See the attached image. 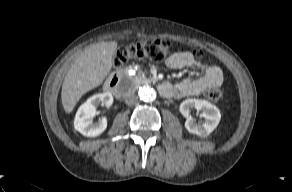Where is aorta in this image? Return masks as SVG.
Instances as JSON below:
<instances>
[{
  "label": "aorta",
  "mask_w": 292,
  "mask_h": 192,
  "mask_svg": "<svg viewBox=\"0 0 292 192\" xmlns=\"http://www.w3.org/2000/svg\"><path fill=\"white\" fill-rule=\"evenodd\" d=\"M138 96L143 102H152L156 99V91L149 85H144L139 88Z\"/></svg>",
  "instance_id": "aorta-1"
}]
</instances>
